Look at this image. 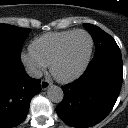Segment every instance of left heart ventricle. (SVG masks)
<instances>
[{
	"label": "left heart ventricle",
	"instance_id": "obj_1",
	"mask_svg": "<svg viewBox=\"0 0 128 128\" xmlns=\"http://www.w3.org/2000/svg\"><path fill=\"white\" fill-rule=\"evenodd\" d=\"M89 38L85 34H76L68 42L63 57L55 68L59 77H68L74 74L85 61L89 51Z\"/></svg>",
	"mask_w": 128,
	"mask_h": 128
}]
</instances>
